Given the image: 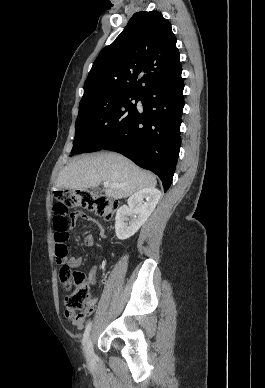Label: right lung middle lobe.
I'll return each instance as SVG.
<instances>
[{"instance_id": "obj_1", "label": "right lung middle lobe", "mask_w": 265, "mask_h": 388, "mask_svg": "<svg viewBox=\"0 0 265 388\" xmlns=\"http://www.w3.org/2000/svg\"><path fill=\"white\" fill-rule=\"evenodd\" d=\"M139 99V94L112 90L95 92L82 98L71 156L101 150L136 112ZM131 100L136 103L133 104Z\"/></svg>"}]
</instances>
